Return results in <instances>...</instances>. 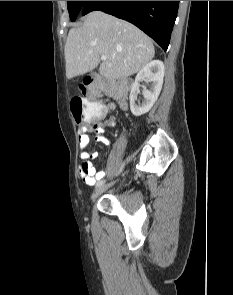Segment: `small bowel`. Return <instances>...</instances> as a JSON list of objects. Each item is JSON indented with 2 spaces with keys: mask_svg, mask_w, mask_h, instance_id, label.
Masks as SVG:
<instances>
[{
  "mask_svg": "<svg viewBox=\"0 0 233 295\" xmlns=\"http://www.w3.org/2000/svg\"><path fill=\"white\" fill-rule=\"evenodd\" d=\"M112 107V105H111ZM115 125V118L110 117L105 124H95L82 126L79 129L78 142L81 149L80 158L81 164L79 166V174L82 180L88 185H94L97 180L103 178L106 174L104 169L96 170L93 161L98 158V152H86L85 149L89 145V134L94 133L95 139L103 145L108 146L109 140L103 135L105 127H112Z\"/></svg>",
  "mask_w": 233,
  "mask_h": 295,
  "instance_id": "1",
  "label": "small bowel"
}]
</instances>
